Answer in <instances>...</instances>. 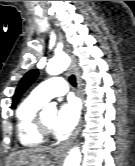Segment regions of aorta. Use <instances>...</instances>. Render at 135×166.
I'll use <instances>...</instances> for the list:
<instances>
[{
	"mask_svg": "<svg viewBox=\"0 0 135 166\" xmlns=\"http://www.w3.org/2000/svg\"><path fill=\"white\" fill-rule=\"evenodd\" d=\"M70 64V58L67 55H57L53 57L47 64L46 71L49 75H59L65 71ZM46 111H56L54 104H47L44 108ZM81 152L79 147L70 150L63 166H80Z\"/></svg>",
	"mask_w": 135,
	"mask_h": 166,
	"instance_id": "obj_1",
	"label": "aorta"
}]
</instances>
